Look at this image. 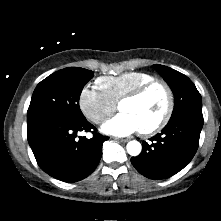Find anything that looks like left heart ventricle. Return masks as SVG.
<instances>
[{
  "mask_svg": "<svg viewBox=\"0 0 221 221\" xmlns=\"http://www.w3.org/2000/svg\"><path fill=\"white\" fill-rule=\"evenodd\" d=\"M165 106V92L161 87H154L139 99L123 102L120 111L133 115L143 129L153 125L162 117Z\"/></svg>",
  "mask_w": 221,
  "mask_h": 221,
  "instance_id": "b2bd125f",
  "label": "left heart ventricle"
}]
</instances>
